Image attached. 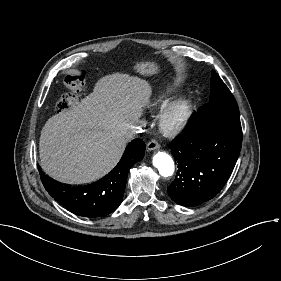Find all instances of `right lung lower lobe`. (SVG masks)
<instances>
[{
    "label": "right lung lower lobe",
    "mask_w": 281,
    "mask_h": 281,
    "mask_svg": "<svg viewBox=\"0 0 281 281\" xmlns=\"http://www.w3.org/2000/svg\"><path fill=\"white\" fill-rule=\"evenodd\" d=\"M145 144L133 140L117 166L105 177L90 185L66 187L48 179L39 169L48 193L71 212L84 217H103L113 212L122 202L129 169L142 160Z\"/></svg>",
    "instance_id": "obj_1"
}]
</instances>
